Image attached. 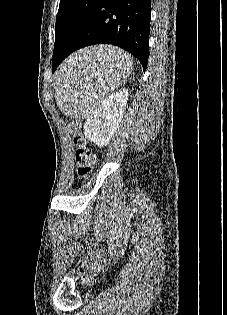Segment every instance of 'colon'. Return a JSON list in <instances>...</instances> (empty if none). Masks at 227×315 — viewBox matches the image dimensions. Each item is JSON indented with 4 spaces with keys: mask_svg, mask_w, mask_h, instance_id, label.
<instances>
[{
    "mask_svg": "<svg viewBox=\"0 0 227 315\" xmlns=\"http://www.w3.org/2000/svg\"><path fill=\"white\" fill-rule=\"evenodd\" d=\"M68 131L77 146L75 154L77 174L80 178H87L96 162V157L87 146V140L82 133L81 124L78 120L69 122Z\"/></svg>",
    "mask_w": 227,
    "mask_h": 315,
    "instance_id": "obj_1",
    "label": "colon"
}]
</instances>
